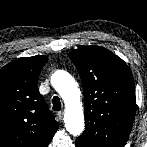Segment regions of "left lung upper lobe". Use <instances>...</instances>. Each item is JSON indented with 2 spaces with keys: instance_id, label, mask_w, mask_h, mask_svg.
Masks as SVG:
<instances>
[{
  "instance_id": "obj_1",
  "label": "left lung upper lobe",
  "mask_w": 147,
  "mask_h": 147,
  "mask_svg": "<svg viewBox=\"0 0 147 147\" xmlns=\"http://www.w3.org/2000/svg\"><path fill=\"white\" fill-rule=\"evenodd\" d=\"M83 85L85 124L76 139L82 147H124L136 111L135 86L128 65L100 46L69 53Z\"/></svg>"
}]
</instances>
